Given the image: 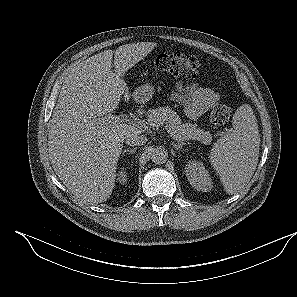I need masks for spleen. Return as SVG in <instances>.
Instances as JSON below:
<instances>
[{
  "instance_id": "1",
  "label": "spleen",
  "mask_w": 297,
  "mask_h": 297,
  "mask_svg": "<svg viewBox=\"0 0 297 297\" xmlns=\"http://www.w3.org/2000/svg\"><path fill=\"white\" fill-rule=\"evenodd\" d=\"M233 128L214 143L210 163L228 194L244 189L257 167L260 147L258 124L250 105L233 115Z\"/></svg>"
}]
</instances>
